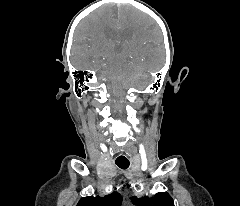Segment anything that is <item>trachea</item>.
<instances>
[{"instance_id": "3493384b", "label": "trachea", "mask_w": 240, "mask_h": 206, "mask_svg": "<svg viewBox=\"0 0 240 206\" xmlns=\"http://www.w3.org/2000/svg\"><path fill=\"white\" fill-rule=\"evenodd\" d=\"M117 166L121 169H127L129 167V161H116Z\"/></svg>"}]
</instances>
